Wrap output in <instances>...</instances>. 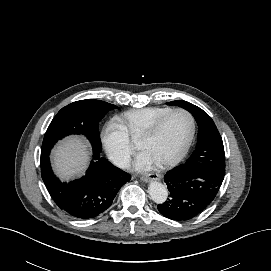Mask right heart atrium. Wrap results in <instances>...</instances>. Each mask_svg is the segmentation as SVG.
Listing matches in <instances>:
<instances>
[{"label":"right heart atrium","mask_w":271,"mask_h":271,"mask_svg":"<svg viewBox=\"0 0 271 271\" xmlns=\"http://www.w3.org/2000/svg\"><path fill=\"white\" fill-rule=\"evenodd\" d=\"M101 142L108 157L125 167L134 153V146L125 130L115 121L108 122L101 131Z\"/></svg>","instance_id":"obj_1"}]
</instances>
